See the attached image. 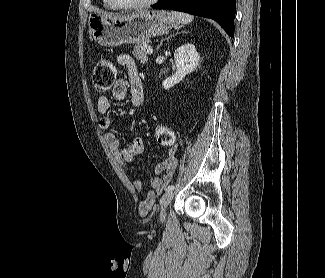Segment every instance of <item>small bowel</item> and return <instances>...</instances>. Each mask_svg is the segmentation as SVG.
I'll list each match as a JSON object with an SVG mask.
<instances>
[{
    "label": "small bowel",
    "instance_id": "obj_1",
    "mask_svg": "<svg viewBox=\"0 0 325 278\" xmlns=\"http://www.w3.org/2000/svg\"><path fill=\"white\" fill-rule=\"evenodd\" d=\"M117 63L126 68L128 71V83L123 79H118L115 83L112 96L117 101H122L126 98L128 90L131 94V103L133 107L140 108L144 101L143 82L139 75L135 60L127 54L119 55ZM97 109L101 115L99 126L106 130L111 126V118L109 116L110 100L107 96H101L97 102ZM105 140L111 151L117 156L118 160L124 164V170L128 175L132 174V169L129 164L132 162H139L138 156L144 150V142L140 136H137L133 141L125 146H121L117 135L113 132L105 134ZM164 145V144H162ZM169 147L166 158L153 168V174L156 178L152 181V190L149 193L151 197L160 194L163 188L171 181L177 163V149L178 144L174 143ZM134 186L137 190H142L143 182L135 180Z\"/></svg>",
    "mask_w": 325,
    "mask_h": 278
}]
</instances>
